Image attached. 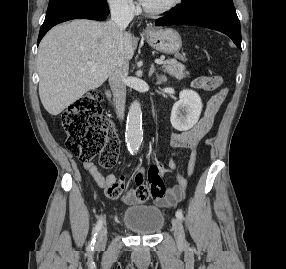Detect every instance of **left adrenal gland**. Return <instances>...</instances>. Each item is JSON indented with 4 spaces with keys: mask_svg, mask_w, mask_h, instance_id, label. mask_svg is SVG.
Returning <instances> with one entry per match:
<instances>
[{
    "mask_svg": "<svg viewBox=\"0 0 286 269\" xmlns=\"http://www.w3.org/2000/svg\"><path fill=\"white\" fill-rule=\"evenodd\" d=\"M153 73H155V66H154V64L151 65V68H150V71H149V75L152 76ZM156 77H157V84H161V83L166 81V78H165L164 75H158L156 73Z\"/></svg>",
    "mask_w": 286,
    "mask_h": 269,
    "instance_id": "a2214340",
    "label": "left adrenal gland"
}]
</instances>
